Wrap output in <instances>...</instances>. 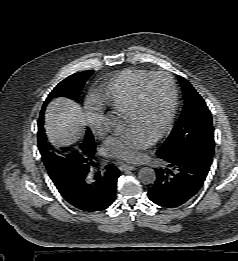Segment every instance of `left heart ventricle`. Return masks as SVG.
I'll list each match as a JSON object with an SVG mask.
<instances>
[{"label": "left heart ventricle", "instance_id": "1", "mask_svg": "<svg viewBox=\"0 0 238 261\" xmlns=\"http://www.w3.org/2000/svg\"><path fill=\"white\" fill-rule=\"evenodd\" d=\"M170 108V89L164 78L153 79L146 87L138 113H128V127L137 126L154 136L164 124Z\"/></svg>", "mask_w": 238, "mask_h": 261}]
</instances>
